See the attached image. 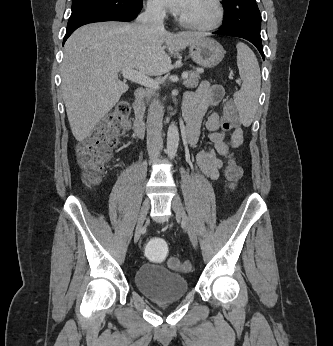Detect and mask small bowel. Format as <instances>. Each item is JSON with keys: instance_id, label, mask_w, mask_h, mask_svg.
Instances as JSON below:
<instances>
[{"instance_id": "small-bowel-1", "label": "small bowel", "mask_w": 333, "mask_h": 346, "mask_svg": "<svg viewBox=\"0 0 333 346\" xmlns=\"http://www.w3.org/2000/svg\"><path fill=\"white\" fill-rule=\"evenodd\" d=\"M224 89L221 85L202 81L195 91L187 92L184 96V115L188 123V142L194 145L200 136L204 123L208 132L206 148L197 154V163L203 173L217 179L223 166L221 157L227 156L232 149L243 142L242 129H233L229 141H226V129L220 114L213 110L222 100Z\"/></svg>"}]
</instances>
